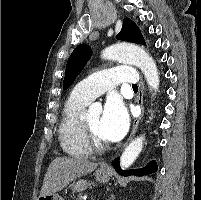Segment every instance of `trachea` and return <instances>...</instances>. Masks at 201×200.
Returning a JSON list of instances; mask_svg holds the SVG:
<instances>
[{"label": "trachea", "mask_w": 201, "mask_h": 200, "mask_svg": "<svg viewBox=\"0 0 201 200\" xmlns=\"http://www.w3.org/2000/svg\"><path fill=\"white\" fill-rule=\"evenodd\" d=\"M132 88H133V89H138L137 84H133V85H132Z\"/></svg>", "instance_id": "trachea-1"}]
</instances>
